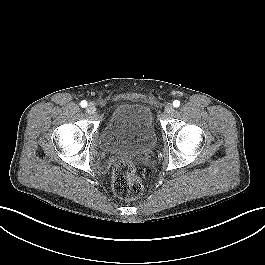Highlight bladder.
<instances>
[{
  "instance_id": "obj_1",
  "label": "bladder",
  "mask_w": 265,
  "mask_h": 265,
  "mask_svg": "<svg viewBox=\"0 0 265 265\" xmlns=\"http://www.w3.org/2000/svg\"><path fill=\"white\" fill-rule=\"evenodd\" d=\"M157 140L154 116L139 102L117 105L106 121L99 143L107 154L136 155L151 150Z\"/></svg>"
}]
</instances>
